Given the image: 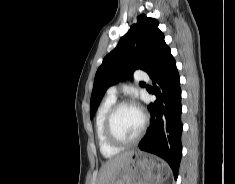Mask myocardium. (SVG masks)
<instances>
[{
    "label": "myocardium",
    "mask_w": 235,
    "mask_h": 184,
    "mask_svg": "<svg viewBox=\"0 0 235 184\" xmlns=\"http://www.w3.org/2000/svg\"><path fill=\"white\" fill-rule=\"evenodd\" d=\"M127 106H131V107H135L131 102L128 101H121V102H117L115 103L110 110L107 113L106 119H105V135L108 139V141L115 147H125V146H130V145H134L136 143H138L142 137L145 134V131L147 129V126L149 124V118L147 116L146 113H144L143 111H140L143 117V123L141 126V129L139 131V133L136 135V137L130 139V140H125L123 138H121L120 136H118V134L115 131V127H114V119L116 114L118 113V111L120 109H122L123 107H127Z\"/></svg>",
    "instance_id": "1"
}]
</instances>
